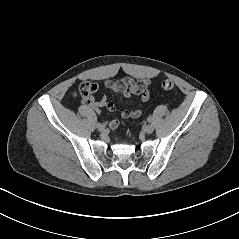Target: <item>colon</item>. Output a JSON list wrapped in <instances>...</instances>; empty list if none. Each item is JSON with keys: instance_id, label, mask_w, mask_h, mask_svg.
Returning <instances> with one entry per match:
<instances>
[{"instance_id": "colon-1", "label": "colon", "mask_w": 239, "mask_h": 239, "mask_svg": "<svg viewBox=\"0 0 239 239\" xmlns=\"http://www.w3.org/2000/svg\"><path fill=\"white\" fill-rule=\"evenodd\" d=\"M161 87L166 91H170L174 88V83L170 79H165L161 82ZM93 92L94 88L91 83H85L80 88V93L83 97H89Z\"/></svg>"}]
</instances>
